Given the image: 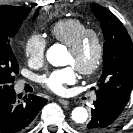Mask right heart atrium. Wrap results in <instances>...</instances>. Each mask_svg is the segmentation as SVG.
Masks as SVG:
<instances>
[{
	"label": "right heart atrium",
	"instance_id": "right-heart-atrium-1",
	"mask_svg": "<svg viewBox=\"0 0 133 133\" xmlns=\"http://www.w3.org/2000/svg\"><path fill=\"white\" fill-rule=\"evenodd\" d=\"M47 48L45 37L38 33L29 35L24 42V54L33 65H41L44 62Z\"/></svg>",
	"mask_w": 133,
	"mask_h": 133
}]
</instances>
